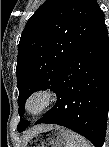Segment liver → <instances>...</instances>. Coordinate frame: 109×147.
<instances>
[{
  "instance_id": "6515ba94",
  "label": "liver",
  "mask_w": 109,
  "mask_h": 147,
  "mask_svg": "<svg viewBox=\"0 0 109 147\" xmlns=\"http://www.w3.org/2000/svg\"><path fill=\"white\" fill-rule=\"evenodd\" d=\"M47 126H49V125L41 124V125L34 126L33 128L27 130V131L24 133V139L26 140V139L30 138L31 136H33V135L36 134L37 132L43 130V129L46 128Z\"/></svg>"
}]
</instances>
